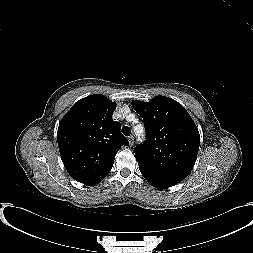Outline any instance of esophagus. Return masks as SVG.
I'll use <instances>...</instances> for the list:
<instances>
[{
    "instance_id": "34e87169",
    "label": "esophagus",
    "mask_w": 253,
    "mask_h": 253,
    "mask_svg": "<svg viewBox=\"0 0 253 253\" xmlns=\"http://www.w3.org/2000/svg\"><path fill=\"white\" fill-rule=\"evenodd\" d=\"M128 140H129V145L132 146L134 144V137L130 136Z\"/></svg>"
}]
</instances>
